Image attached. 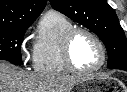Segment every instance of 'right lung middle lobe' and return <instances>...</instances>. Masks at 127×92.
Wrapping results in <instances>:
<instances>
[{"instance_id": "dd1d6c3e", "label": "right lung middle lobe", "mask_w": 127, "mask_h": 92, "mask_svg": "<svg viewBox=\"0 0 127 92\" xmlns=\"http://www.w3.org/2000/svg\"><path fill=\"white\" fill-rule=\"evenodd\" d=\"M27 26H13L0 28V60L20 62L23 36Z\"/></svg>"}]
</instances>
